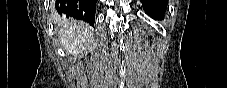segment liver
<instances>
[{
  "label": "liver",
  "mask_w": 227,
  "mask_h": 88,
  "mask_svg": "<svg viewBox=\"0 0 227 88\" xmlns=\"http://www.w3.org/2000/svg\"><path fill=\"white\" fill-rule=\"evenodd\" d=\"M92 32L90 27L77 22H64L59 32L61 47L68 53L76 56L89 43Z\"/></svg>",
  "instance_id": "6515ba94"
}]
</instances>
